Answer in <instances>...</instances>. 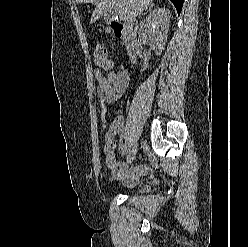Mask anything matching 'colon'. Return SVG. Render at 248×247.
Here are the masks:
<instances>
[{"mask_svg": "<svg viewBox=\"0 0 248 247\" xmlns=\"http://www.w3.org/2000/svg\"><path fill=\"white\" fill-rule=\"evenodd\" d=\"M110 32H113L117 37H120V29L116 25L109 24L107 29ZM96 60L100 62L103 66H106L107 63V52L104 46L98 45L95 50Z\"/></svg>", "mask_w": 248, "mask_h": 247, "instance_id": "colon-1", "label": "colon"}]
</instances>
